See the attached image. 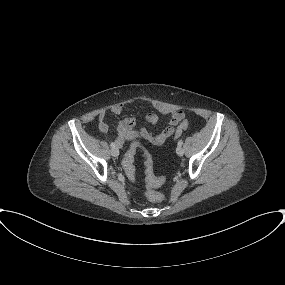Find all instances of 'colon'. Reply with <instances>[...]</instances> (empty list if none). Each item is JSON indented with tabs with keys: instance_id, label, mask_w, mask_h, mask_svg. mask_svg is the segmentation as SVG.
Wrapping results in <instances>:
<instances>
[{
	"instance_id": "colon-1",
	"label": "colon",
	"mask_w": 285,
	"mask_h": 285,
	"mask_svg": "<svg viewBox=\"0 0 285 285\" xmlns=\"http://www.w3.org/2000/svg\"><path fill=\"white\" fill-rule=\"evenodd\" d=\"M188 123L186 121L180 122L177 130L175 131V136H179L186 128ZM136 152V144H133L123 159V168L132 181L136 179V171L134 166V156ZM145 169H146V182L150 188L159 186L163 183V179H160L154 175L153 172V159L149 154H145ZM147 198L154 203H161L164 201V196L154 190L147 192Z\"/></svg>"
}]
</instances>
